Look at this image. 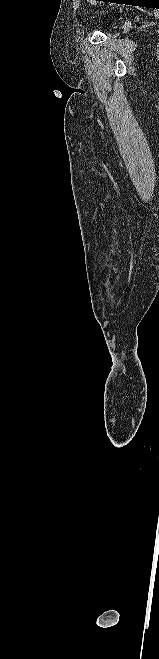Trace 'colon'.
I'll return each mask as SVG.
<instances>
[{"label": "colon", "mask_w": 159, "mask_h": 659, "mask_svg": "<svg viewBox=\"0 0 159 659\" xmlns=\"http://www.w3.org/2000/svg\"><path fill=\"white\" fill-rule=\"evenodd\" d=\"M89 1L92 2V3H94V2H96V1H98V0H89Z\"/></svg>", "instance_id": "obj_1"}]
</instances>
